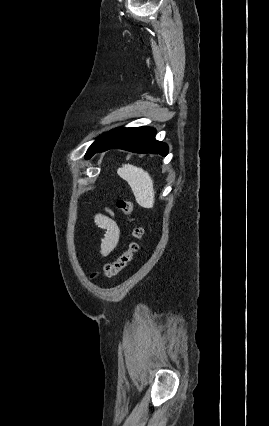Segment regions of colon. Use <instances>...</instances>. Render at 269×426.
Wrapping results in <instances>:
<instances>
[{
  "label": "colon",
  "mask_w": 269,
  "mask_h": 426,
  "mask_svg": "<svg viewBox=\"0 0 269 426\" xmlns=\"http://www.w3.org/2000/svg\"><path fill=\"white\" fill-rule=\"evenodd\" d=\"M117 207L120 210L121 214L129 221L133 222V213L134 208L130 201L125 199H119L117 201ZM144 230L140 226H134L131 231V240L129 242L128 248L113 262L106 263L104 265L103 271L101 273L95 272L91 275L93 279L102 276L104 278H112L118 275L124 268L128 266L131 262L133 256L139 250L138 241L143 237Z\"/></svg>",
  "instance_id": "obj_1"
}]
</instances>
